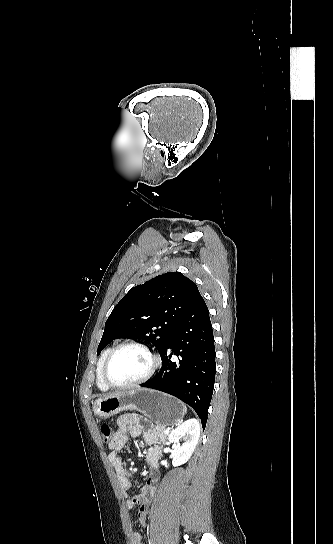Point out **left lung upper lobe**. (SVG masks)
Here are the masks:
<instances>
[{"mask_svg": "<svg viewBox=\"0 0 333 544\" xmlns=\"http://www.w3.org/2000/svg\"><path fill=\"white\" fill-rule=\"evenodd\" d=\"M200 297L197 285L179 272L133 287L108 317L97 354L120 337L146 340L161 354L177 324Z\"/></svg>", "mask_w": 333, "mask_h": 544, "instance_id": "obj_1", "label": "left lung upper lobe"}]
</instances>
